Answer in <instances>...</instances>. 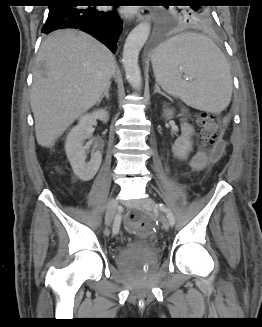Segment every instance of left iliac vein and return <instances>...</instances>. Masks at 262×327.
<instances>
[{
  "label": "left iliac vein",
  "instance_id": "obj_1",
  "mask_svg": "<svg viewBox=\"0 0 262 327\" xmlns=\"http://www.w3.org/2000/svg\"><path fill=\"white\" fill-rule=\"evenodd\" d=\"M154 205H155V203L151 198H146L142 203V206L147 210L154 209ZM160 220H161L163 229L169 230L170 223H169L168 219L165 216H161Z\"/></svg>",
  "mask_w": 262,
  "mask_h": 327
}]
</instances>
